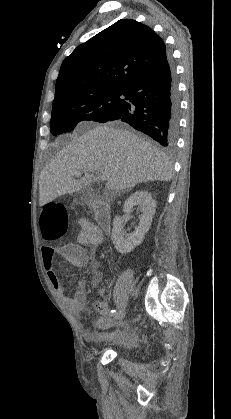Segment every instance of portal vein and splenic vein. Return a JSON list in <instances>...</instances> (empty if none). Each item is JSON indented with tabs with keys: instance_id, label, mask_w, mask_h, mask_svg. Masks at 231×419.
Listing matches in <instances>:
<instances>
[{
	"instance_id": "1",
	"label": "portal vein and splenic vein",
	"mask_w": 231,
	"mask_h": 419,
	"mask_svg": "<svg viewBox=\"0 0 231 419\" xmlns=\"http://www.w3.org/2000/svg\"><path fill=\"white\" fill-rule=\"evenodd\" d=\"M73 176H76V177H78V176H80L81 175V171H76V172H74L73 174H72ZM107 175L106 174H104V173H97V180H101V181H104V180H106L107 179Z\"/></svg>"
}]
</instances>
